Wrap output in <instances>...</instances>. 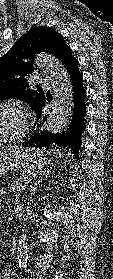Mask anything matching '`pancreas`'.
Masks as SVG:
<instances>
[{
	"mask_svg": "<svg viewBox=\"0 0 113 279\" xmlns=\"http://www.w3.org/2000/svg\"><path fill=\"white\" fill-rule=\"evenodd\" d=\"M35 173L26 172L23 173L20 177L16 178L14 183L11 185V190L15 191H23L26 186L31 182V180L35 177Z\"/></svg>",
	"mask_w": 113,
	"mask_h": 279,
	"instance_id": "cf45deb5",
	"label": "pancreas"
}]
</instances>
